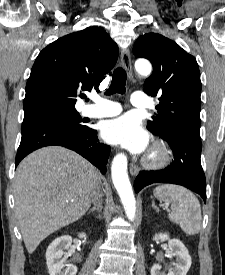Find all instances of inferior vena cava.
<instances>
[{"instance_id": "inferior-vena-cava-1", "label": "inferior vena cava", "mask_w": 225, "mask_h": 275, "mask_svg": "<svg viewBox=\"0 0 225 275\" xmlns=\"http://www.w3.org/2000/svg\"><path fill=\"white\" fill-rule=\"evenodd\" d=\"M100 196H101V194H100V191H99V181H97L96 186H95V190L93 192V199L97 200L98 197H100Z\"/></svg>"}]
</instances>
